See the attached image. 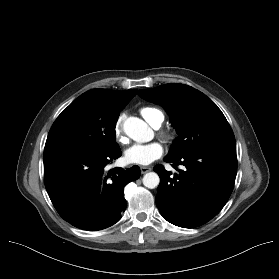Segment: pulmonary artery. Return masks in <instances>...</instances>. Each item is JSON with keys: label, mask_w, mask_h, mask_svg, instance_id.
<instances>
[{"label": "pulmonary artery", "mask_w": 279, "mask_h": 279, "mask_svg": "<svg viewBox=\"0 0 279 279\" xmlns=\"http://www.w3.org/2000/svg\"><path fill=\"white\" fill-rule=\"evenodd\" d=\"M158 126H159V124L155 125V127H158Z\"/></svg>", "instance_id": "pulmonary-artery-1"}]
</instances>
